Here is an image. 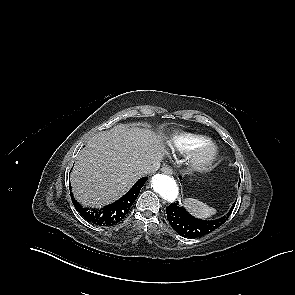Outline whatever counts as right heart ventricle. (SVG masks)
I'll return each instance as SVG.
<instances>
[{
  "mask_svg": "<svg viewBox=\"0 0 295 295\" xmlns=\"http://www.w3.org/2000/svg\"><path fill=\"white\" fill-rule=\"evenodd\" d=\"M205 141H207L205 136L183 133L173 136L168 142V145L173 151L185 154L191 152Z\"/></svg>",
  "mask_w": 295,
  "mask_h": 295,
  "instance_id": "right-heart-ventricle-1",
  "label": "right heart ventricle"
}]
</instances>
